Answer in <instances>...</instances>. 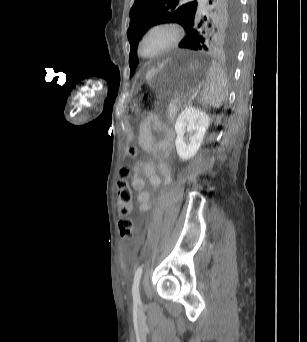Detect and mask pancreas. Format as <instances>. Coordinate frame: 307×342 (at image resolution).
Returning a JSON list of instances; mask_svg holds the SVG:
<instances>
[{
    "label": "pancreas",
    "instance_id": "1",
    "mask_svg": "<svg viewBox=\"0 0 307 342\" xmlns=\"http://www.w3.org/2000/svg\"><path fill=\"white\" fill-rule=\"evenodd\" d=\"M173 103H170L167 110L165 111L166 117H175L176 116V110L178 109V104L180 103L179 97L173 98Z\"/></svg>",
    "mask_w": 307,
    "mask_h": 342
}]
</instances>
